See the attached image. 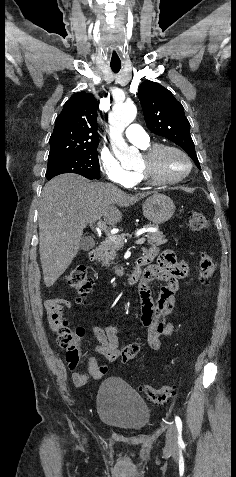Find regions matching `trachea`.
I'll return each mask as SVG.
<instances>
[{
    "mask_svg": "<svg viewBox=\"0 0 236 477\" xmlns=\"http://www.w3.org/2000/svg\"><path fill=\"white\" fill-rule=\"evenodd\" d=\"M110 67L114 73H118L121 69V63H111Z\"/></svg>",
    "mask_w": 236,
    "mask_h": 477,
    "instance_id": "obj_1",
    "label": "trachea"
}]
</instances>
